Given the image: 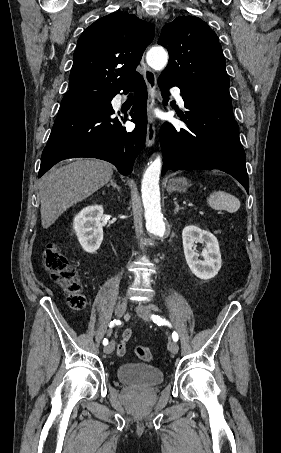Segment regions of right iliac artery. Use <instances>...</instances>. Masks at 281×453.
I'll list each match as a JSON object with an SVG mask.
<instances>
[{
  "mask_svg": "<svg viewBox=\"0 0 281 453\" xmlns=\"http://www.w3.org/2000/svg\"><path fill=\"white\" fill-rule=\"evenodd\" d=\"M115 324H117L116 320H113L110 322L109 327H113ZM108 344V340L104 338L103 340V345L106 346Z\"/></svg>",
  "mask_w": 281,
  "mask_h": 453,
  "instance_id": "1",
  "label": "right iliac artery"
}]
</instances>
